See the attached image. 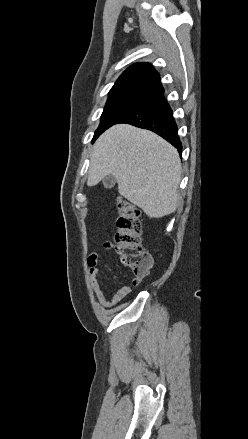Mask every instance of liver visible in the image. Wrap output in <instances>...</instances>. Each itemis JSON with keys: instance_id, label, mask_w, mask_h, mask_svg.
<instances>
[{"instance_id": "6515ba94", "label": "liver", "mask_w": 248, "mask_h": 439, "mask_svg": "<svg viewBox=\"0 0 248 439\" xmlns=\"http://www.w3.org/2000/svg\"><path fill=\"white\" fill-rule=\"evenodd\" d=\"M113 175L121 196L149 218H162L178 206L181 161L177 150L155 133L114 125L95 142L87 184Z\"/></svg>"}]
</instances>
